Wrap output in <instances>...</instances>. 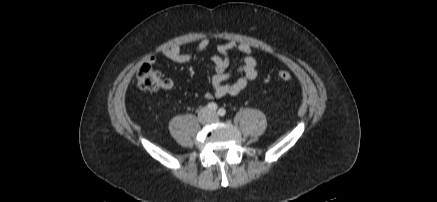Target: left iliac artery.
Segmentation results:
<instances>
[{
    "label": "left iliac artery",
    "mask_w": 437,
    "mask_h": 202,
    "mask_svg": "<svg viewBox=\"0 0 437 202\" xmlns=\"http://www.w3.org/2000/svg\"><path fill=\"white\" fill-rule=\"evenodd\" d=\"M226 114V110L224 109V108H220L219 110H218V115L219 116H224Z\"/></svg>",
    "instance_id": "44dca946"
}]
</instances>
